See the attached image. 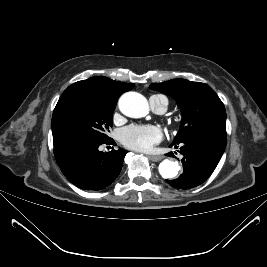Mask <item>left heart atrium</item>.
<instances>
[{
    "mask_svg": "<svg viewBox=\"0 0 267 267\" xmlns=\"http://www.w3.org/2000/svg\"><path fill=\"white\" fill-rule=\"evenodd\" d=\"M162 138L161 129L150 125H130L119 132L121 143L136 151H150Z\"/></svg>",
    "mask_w": 267,
    "mask_h": 267,
    "instance_id": "39dd6f15",
    "label": "left heart atrium"
}]
</instances>
